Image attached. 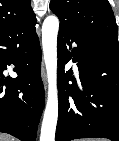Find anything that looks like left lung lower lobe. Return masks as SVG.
<instances>
[{"label":"left lung lower lobe","instance_id":"0a47b994","mask_svg":"<svg viewBox=\"0 0 119 141\" xmlns=\"http://www.w3.org/2000/svg\"><path fill=\"white\" fill-rule=\"evenodd\" d=\"M57 51L56 141L78 138L119 141V49L60 26ZM71 57L78 66V83L72 70L64 72Z\"/></svg>","mask_w":119,"mask_h":141}]
</instances>
